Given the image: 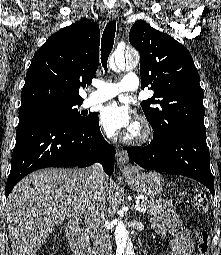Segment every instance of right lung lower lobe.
Segmentation results:
<instances>
[{"instance_id": "right-lung-lower-lobe-1", "label": "right lung lower lobe", "mask_w": 221, "mask_h": 255, "mask_svg": "<svg viewBox=\"0 0 221 255\" xmlns=\"http://www.w3.org/2000/svg\"><path fill=\"white\" fill-rule=\"evenodd\" d=\"M114 161L115 148L104 140L97 114L80 126L48 116H20L5 195L8 197L24 176L37 169L86 167L100 162L111 175Z\"/></svg>"}]
</instances>
